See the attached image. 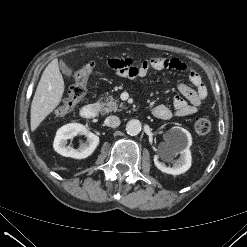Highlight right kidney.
<instances>
[{
	"label": "right kidney",
	"mask_w": 247,
	"mask_h": 247,
	"mask_svg": "<svg viewBox=\"0 0 247 247\" xmlns=\"http://www.w3.org/2000/svg\"><path fill=\"white\" fill-rule=\"evenodd\" d=\"M77 135H85L87 141L81 143L78 149L66 146L67 140L72 139ZM98 144L99 137L97 135L88 131L82 124L70 123L58 129L54 139L53 148L62 156L75 159H85L95 151Z\"/></svg>",
	"instance_id": "obj_1"
}]
</instances>
